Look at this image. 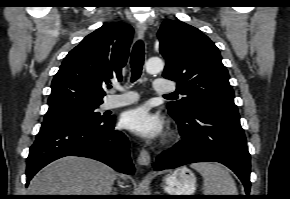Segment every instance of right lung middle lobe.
<instances>
[{
	"label": "right lung middle lobe",
	"mask_w": 290,
	"mask_h": 199,
	"mask_svg": "<svg viewBox=\"0 0 290 199\" xmlns=\"http://www.w3.org/2000/svg\"><path fill=\"white\" fill-rule=\"evenodd\" d=\"M100 104L81 107L66 112L48 114L44 117L42 125L50 124H74L82 122H102L107 119L106 116L98 112Z\"/></svg>",
	"instance_id": "right-lung-middle-lobe-1"
}]
</instances>
